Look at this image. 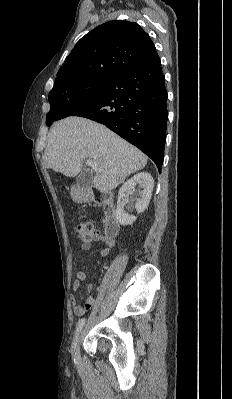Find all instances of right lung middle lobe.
Wrapping results in <instances>:
<instances>
[{
	"mask_svg": "<svg viewBox=\"0 0 232 399\" xmlns=\"http://www.w3.org/2000/svg\"><path fill=\"white\" fill-rule=\"evenodd\" d=\"M109 82V78L84 79L69 86L64 92L49 95L51 109L46 117L50 126L70 105L78 104L95 97Z\"/></svg>",
	"mask_w": 232,
	"mask_h": 399,
	"instance_id": "dd1d6c3e",
	"label": "right lung middle lobe"
}]
</instances>
